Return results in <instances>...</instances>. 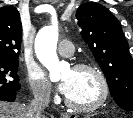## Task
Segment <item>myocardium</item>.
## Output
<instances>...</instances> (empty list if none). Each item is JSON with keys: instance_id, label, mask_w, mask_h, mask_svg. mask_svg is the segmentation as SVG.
<instances>
[{"instance_id": "1", "label": "myocardium", "mask_w": 133, "mask_h": 118, "mask_svg": "<svg viewBox=\"0 0 133 118\" xmlns=\"http://www.w3.org/2000/svg\"><path fill=\"white\" fill-rule=\"evenodd\" d=\"M72 69L92 71L98 78L101 92L99 98L90 105H76L72 103L67 97H65L64 103L66 107L77 113H89L102 107L109 97V84L103 71L97 65L88 62L76 63Z\"/></svg>"}]
</instances>
